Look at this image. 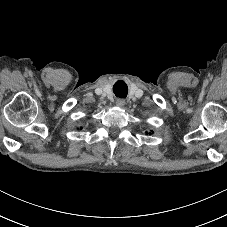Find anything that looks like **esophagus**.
<instances>
[{
	"label": "esophagus",
	"mask_w": 227,
	"mask_h": 227,
	"mask_svg": "<svg viewBox=\"0 0 227 227\" xmlns=\"http://www.w3.org/2000/svg\"><path fill=\"white\" fill-rule=\"evenodd\" d=\"M116 105L119 107H123L125 105V100L122 98L116 99Z\"/></svg>",
	"instance_id": "34e87169"
}]
</instances>
